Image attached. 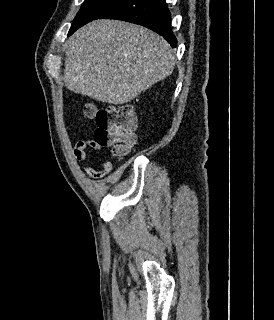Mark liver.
Wrapping results in <instances>:
<instances>
[{"mask_svg": "<svg viewBox=\"0 0 274 320\" xmlns=\"http://www.w3.org/2000/svg\"><path fill=\"white\" fill-rule=\"evenodd\" d=\"M67 44L65 86L97 102L127 104L174 68V52L164 38L127 22L94 20Z\"/></svg>", "mask_w": 274, "mask_h": 320, "instance_id": "1", "label": "liver"}]
</instances>
